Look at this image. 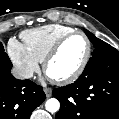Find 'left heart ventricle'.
I'll return each instance as SVG.
<instances>
[{"label":"left heart ventricle","instance_id":"b2bd125f","mask_svg":"<svg viewBox=\"0 0 119 119\" xmlns=\"http://www.w3.org/2000/svg\"><path fill=\"white\" fill-rule=\"evenodd\" d=\"M87 44L82 36L67 40L56 57L49 63L47 73L51 78H62L74 72L82 62Z\"/></svg>","mask_w":119,"mask_h":119}]
</instances>
